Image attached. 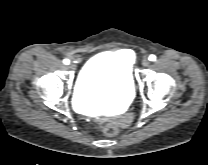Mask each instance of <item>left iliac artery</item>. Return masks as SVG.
Listing matches in <instances>:
<instances>
[{
  "label": "left iliac artery",
  "instance_id": "left-iliac-artery-1",
  "mask_svg": "<svg viewBox=\"0 0 208 165\" xmlns=\"http://www.w3.org/2000/svg\"><path fill=\"white\" fill-rule=\"evenodd\" d=\"M149 60H150V61H155V60H156V56L153 55V54L150 55V56H149Z\"/></svg>",
  "mask_w": 208,
  "mask_h": 165
}]
</instances>
